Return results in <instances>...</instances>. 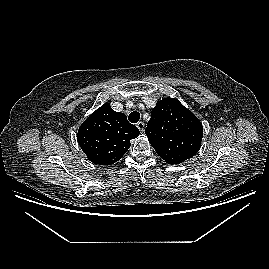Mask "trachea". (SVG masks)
Wrapping results in <instances>:
<instances>
[{
	"label": "trachea",
	"instance_id": "1",
	"mask_svg": "<svg viewBox=\"0 0 269 269\" xmlns=\"http://www.w3.org/2000/svg\"><path fill=\"white\" fill-rule=\"evenodd\" d=\"M128 119L131 123H137L140 119V114L137 111H133L129 114Z\"/></svg>",
	"mask_w": 269,
	"mask_h": 269
}]
</instances>
